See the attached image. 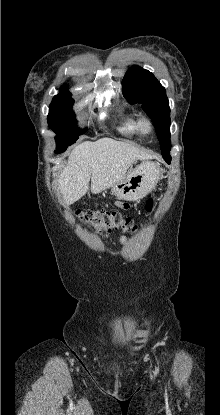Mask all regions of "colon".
<instances>
[{
	"label": "colon",
	"mask_w": 220,
	"mask_h": 415,
	"mask_svg": "<svg viewBox=\"0 0 220 415\" xmlns=\"http://www.w3.org/2000/svg\"><path fill=\"white\" fill-rule=\"evenodd\" d=\"M152 206L153 201L149 200L146 204V210L151 211ZM76 215L81 221L93 226L99 231L121 230L130 234L138 232V226L130 218L123 216L115 210L78 211Z\"/></svg>",
	"instance_id": "colon-1"
}]
</instances>
